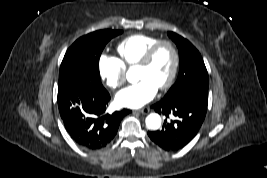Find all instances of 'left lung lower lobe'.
I'll list each match as a JSON object with an SVG mask.
<instances>
[{
  "label": "left lung lower lobe",
  "instance_id": "0a47b994",
  "mask_svg": "<svg viewBox=\"0 0 267 178\" xmlns=\"http://www.w3.org/2000/svg\"><path fill=\"white\" fill-rule=\"evenodd\" d=\"M208 96L188 92L175 98H163L152 106L166 116L161 130L150 131V139L165 151H177L186 146L198 133L205 119ZM169 115L172 119L167 120Z\"/></svg>",
  "mask_w": 267,
  "mask_h": 178
}]
</instances>
